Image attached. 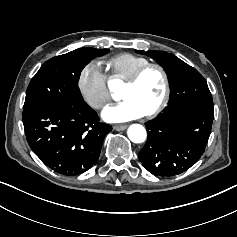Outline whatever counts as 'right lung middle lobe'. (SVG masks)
Returning a JSON list of instances; mask_svg holds the SVG:
<instances>
[{
    "instance_id": "1",
    "label": "right lung middle lobe",
    "mask_w": 237,
    "mask_h": 237,
    "mask_svg": "<svg viewBox=\"0 0 237 237\" xmlns=\"http://www.w3.org/2000/svg\"><path fill=\"white\" fill-rule=\"evenodd\" d=\"M108 51L85 47L46 61L27 88L23 113L48 104L83 101L77 88L80 73L91 59Z\"/></svg>"
}]
</instances>
